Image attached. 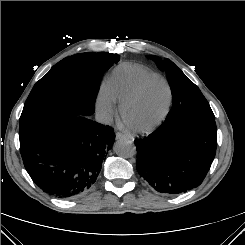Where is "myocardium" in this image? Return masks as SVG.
I'll use <instances>...</instances> for the list:
<instances>
[{
    "instance_id": "myocardium-1",
    "label": "myocardium",
    "mask_w": 245,
    "mask_h": 245,
    "mask_svg": "<svg viewBox=\"0 0 245 245\" xmlns=\"http://www.w3.org/2000/svg\"><path fill=\"white\" fill-rule=\"evenodd\" d=\"M154 82H160L162 83L166 89H167V101H166V105L162 111V113L150 124L148 125H143V126H138V125H133L131 123H129L126 119V110L133 105L134 103H136L140 97L142 96L144 90L152 83ZM171 102H172V90L171 87L169 85V83L163 79L160 76H155L149 79H146L145 81H143L138 88L133 92L132 95H130L126 100H124L121 105H120V115L121 118L124 122V124L126 125V127L135 132V133H149L152 132L153 130H155L158 126H160V124L165 120V118L167 117L169 110H170V106H171Z\"/></svg>"
}]
</instances>
